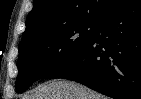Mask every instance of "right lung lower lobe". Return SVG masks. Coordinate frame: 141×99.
<instances>
[{
  "label": "right lung lower lobe",
  "instance_id": "98d812e1",
  "mask_svg": "<svg viewBox=\"0 0 141 99\" xmlns=\"http://www.w3.org/2000/svg\"><path fill=\"white\" fill-rule=\"evenodd\" d=\"M96 22L92 40L50 77L114 99H141V0H121Z\"/></svg>",
  "mask_w": 141,
  "mask_h": 99
}]
</instances>
